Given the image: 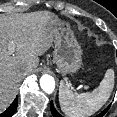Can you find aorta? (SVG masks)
Listing matches in <instances>:
<instances>
[{"label": "aorta", "mask_w": 117, "mask_h": 117, "mask_svg": "<svg viewBox=\"0 0 117 117\" xmlns=\"http://www.w3.org/2000/svg\"><path fill=\"white\" fill-rule=\"evenodd\" d=\"M40 86L48 94H51L55 89V80L48 74L42 75L40 79Z\"/></svg>", "instance_id": "762f6f07"}]
</instances>
